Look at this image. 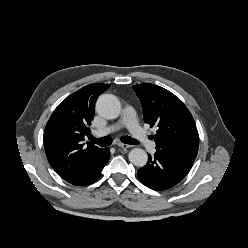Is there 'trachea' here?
I'll list each match as a JSON object with an SVG mask.
<instances>
[{
  "label": "trachea",
  "mask_w": 248,
  "mask_h": 248,
  "mask_svg": "<svg viewBox=\"0 0 248 248\" xmlns=\"http://www.w3.org/2000/svg\"><path fill=\"white\" fill-rule=\"evenodd\" d=\"M89 139L91 140L92 143H96L101 147L109 146L112 144V138L110 136H105L98 139L93 136H90ZM120 140L125 144H130V145L139 144L137 140H135L130 136H122Z\"/></svg>",
  "instance_id": "trachea-1"
}]
</instances>
